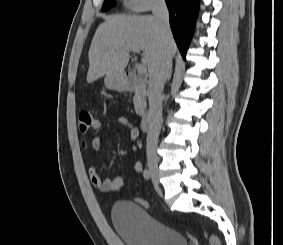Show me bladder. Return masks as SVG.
<instances>
[{
    "instance_id": "obj_1",
    "label": "bladder",
    "mask_w": 283,
    "mask_h": 245,
    "mask_svg": "<svg viewBox=\"0 0 283 245\" xmlns=\"http://www.w3.org/2000/svg\"><path fill=\"white\" fill-rule=\"evenodd\" d=\"M111 219L125 245H188L182 233L157 221L135 202H115Z\"/></svg>"
}]
</instances>
